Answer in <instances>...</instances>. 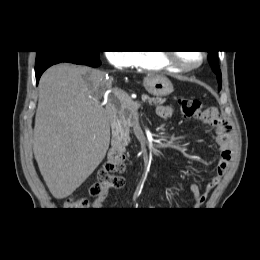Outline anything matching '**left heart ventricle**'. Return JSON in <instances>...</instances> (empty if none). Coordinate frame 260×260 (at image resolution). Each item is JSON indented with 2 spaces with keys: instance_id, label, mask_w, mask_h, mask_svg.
<instances>
[{
  "instance_id": "left-heart-ventricle-1",
  "label": "left heart ventricle",
  "mask_w": 260,
  "mask_h": 260,
  "mask_svg": "<svg viewBox=\"0 0 260 260\" xmlns=\"http://www.w3.org/2000/svg\"><path fill=\"white\" fill-rule=\"evenodd\" d=\"M177 57L184 64H194L199 61L200 53L197 51H182L177 53Z\"/></svg>"
}]
</instances>
